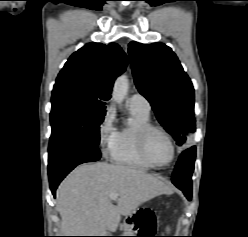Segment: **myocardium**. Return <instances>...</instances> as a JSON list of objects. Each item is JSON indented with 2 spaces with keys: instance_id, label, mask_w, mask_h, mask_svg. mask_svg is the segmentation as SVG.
Returning <instances> with one entry per match:
<instances>
[{
  "instance_id": "myocardium-1",
  "label": "myocardium",
  "mask_w": 248,
  "mask_h": 237,
  "mask_svg": "<svg viewBox=\"0 0 248 237\" xmlns=\"http://www.w3.org/2000/svg\"><path fill=\"white\" fill-rule=\"evenodd\" d=\"M154 131L159 132L162 135H164L170 143L171 156H170V159L168 160V162H166L165 164H156L148 156L147 149H146V141H147L149 134L151 132H154ZM136 140H137V146H138V150H139L140 155L152 168H156V169L166 168L167 166H169L173 162V160L176 156V146H175V143L173 141V138L164 128H162L160 126H156V125H152V124L142 126L137 132Z\"/></svg>"
}]
</instances>
